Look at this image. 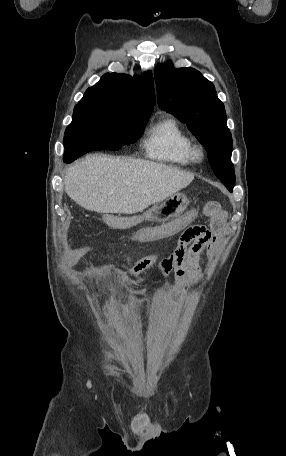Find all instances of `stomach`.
<instances>
[{
  "label": "stomach",
  "mask_w": 286,
  "mask_h": 456,
  "mask_svg": "<svg viewBox=\"0 0 286 456\" xmlns=\"http://www.w3.org/2000/svg\"><path fill=\"white\" fill-rule=\"evenodd\" d=\"M189 204V199L181 193L173 194L154 204L143 218L153 222H164L181 215Z\"/></svg>",
  "instance_id": "1"
}]
</instances>
